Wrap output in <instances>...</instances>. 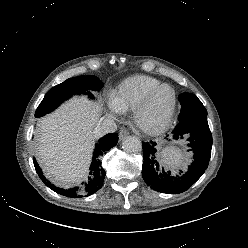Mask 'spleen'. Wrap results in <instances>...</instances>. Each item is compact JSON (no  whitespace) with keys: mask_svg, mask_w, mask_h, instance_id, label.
Segmentation results:
<instances>
[{"mask_svg":"<svg viewBox=\"0 0 248 248\" xmlns=\"http://www.w3.org/2000/svg\"><path fill=\"white\" fill-rule=\"evenodd\" d=\"M188 157L186 153L175 146H168L161 151L160 162L172 172L186 165Z\"/></svg>","mask_w":248,"mask_h":248,"instance_id":"spleen-1","label":"spleen"}]
</instances>
